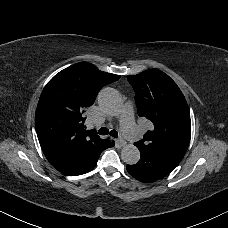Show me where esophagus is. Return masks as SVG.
Here are the masks:
<instances>
[{"mask_svg":"<svg viewBox=\"0 0 228 228\" xmlns=\"http://www.w3.org/2000/svg\"><path fill=\"white\" fill-rule=\"evenodd\" d=\"M117 144L120 146H124L126 144V141L120 136L117 140Z\"/></svg>","mask_w":228,"mask_h":228,"instance_id":"1","label":"esophagus"}]
</instances>
